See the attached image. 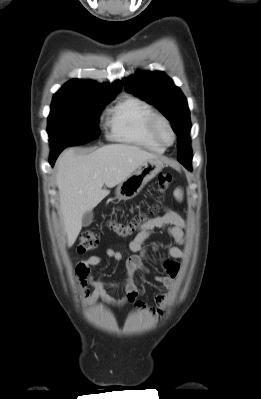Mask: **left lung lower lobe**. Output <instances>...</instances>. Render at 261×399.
<instances>
[{
	"label": "left lung lower lobe",
	"instance_id": "1",
	"mask_svg": "<svg viewBox=\"0 0 261 399\" xmlns=\"http://www.w3.org/2000/svg\"><path fill=\"white\" fill-rule=\"evenodd\" d=\"M183 165L190 171L191 168V163H183Z\"/></svg>",
	"mask_w": 261,
	"mask_h": 399
}]
</instances>
